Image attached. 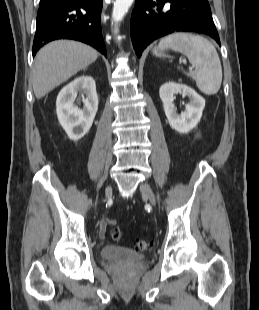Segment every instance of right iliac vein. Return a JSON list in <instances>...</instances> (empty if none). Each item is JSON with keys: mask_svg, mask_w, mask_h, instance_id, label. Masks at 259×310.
Masks as SVG:
<instances>
[{"mask_svg": "<svg viewBox=\"0 0 259 310\" xmlns=\"http://www.w3.org/2000/svg\"><path fill=\"white\" fill-rule=\"evenodd\" d=\"M112 196V188L111 187H107L105 190V197L106 198H110Z\"/></svg>", "mask_w": 259, "mask_h": 310, "instance_id": "obj_1", "label": "right iliac vein"}]
</instances>
